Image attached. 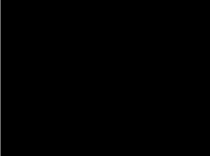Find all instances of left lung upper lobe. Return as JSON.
Segmentation results:
<instances>
[{
	"label": "left lung upper lobe",
	"mask_w": 210,
	"mask_h": 156,
	"mask_svg": "<svg viewBox=\"0 0 210 156\" xmlns=\"http://www.w3.org/2000/svg\"><path fill=\"white\" fill-rule=\"evenodd\" d=\"M134 67L140 82L149 94L144 126L136 132L134 138L143 147L155 148L166 142L176 128L177 101L170 85L166 84L155 64L138 60ZM155 100L160 101L157 107L153 104Z\"/></svg>",
	"instance_id": "5c2ea615"
}]
</instances>
